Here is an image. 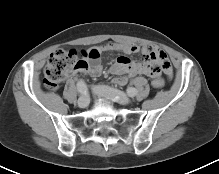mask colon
Instances as JSON below:
<instances>
[{"instance_id":"1","label":"colon","mask_w":219,"mask_h":174,"mask_svg":"<svg viewBox=\"0 0 219 174\" xmlns=\"http://www.w3.org/2000/svg\"><path fill=\"white\" fill-rule=\"evenodd\" d=\"M87 56L97 57L99 52L91 50ZM78 54L74 50L59 49L53 52L44 69V85L49 90H56L66 76L80 66ZM165 82L162 78L153 80L152 86L156 90L164 87Z\"/></svg>"}]
</instances>
